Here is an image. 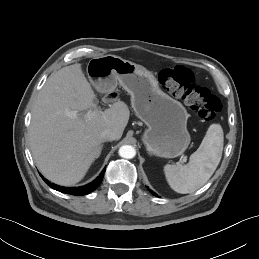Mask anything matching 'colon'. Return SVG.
Listing matches in <instances>:
<instances>
[{
  "label": "colon",
  "mask_w": 259,
  "mask_h": 259,
  "mask_svg": "<svg viewBox=\"0 0 259 259\" xmlns=\"http://www.w3.org/2000/svg\"><path fill=\"white\" fill-rule=\"evenodd\" d=\"M158 80L165 91L183 100L201 119L213 120L221 110L220 100L196 85L193 72L184 66L165 67Z\"/></svg>",
  "instance_id": "obj_1"
}]
</instances>
